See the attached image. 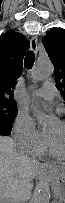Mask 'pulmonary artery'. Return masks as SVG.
<instances>
[{
  "label": "pulmonary artery",
  "instance_id": "obj_1",
  "mask_svg": "<svg viewBox=\"0 0 65 203\" xmlns=\"http://www.w3.org/2000/svg\"><path fill=\"white\" fill-rule=\"evenodd\" d=\"M33 95L51 101L56 96V88L53 83L45 82L40 89L34 91Z\"/></svg>",
  "mask_w": 65,
  "mask_h": 203
}]
</instances>
